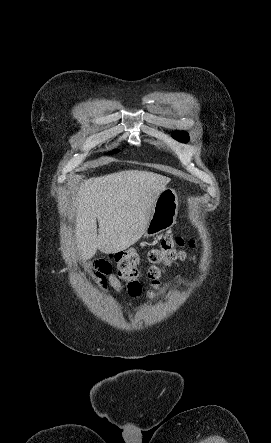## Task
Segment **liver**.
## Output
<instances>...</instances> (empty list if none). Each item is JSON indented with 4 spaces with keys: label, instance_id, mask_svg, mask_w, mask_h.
<instances>
[{
    "label": "liver",
    "instance_id": "liver-1",
    "mask_svg": "<svg viewBox=\"0 0 271 443\" xmlns=\"http://www.w3.org/2000/svg\"><path fill=\"white\" fill-rule=\"evenodd\" d=\"M169 182L166 176L142 170L84 180L73 208L79 259H91L97 249L117 253L136 243L147 227L154 202Z\"/></svg>",
    "mask_w": 271,
    "mask_h": 443
}]
</instances>
